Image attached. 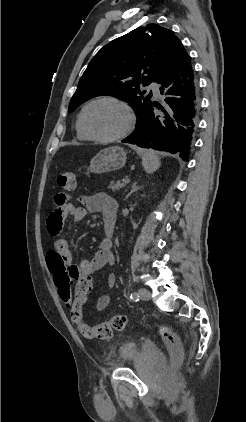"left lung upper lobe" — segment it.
I'll return each instance as SVG.
<instances>
[{
    "label": "left lung upper lobe",
    "mask_w": 246,
    "mask_h": 422,
    "mask_svg": "<svg viewBox=\"0 0 246 422\" xmlns=\"http://www.w3.org/2000/svg\"><path fill=\"white\" fill-rule=\"evenodd\" d=\"M182 44L168 29L157 24L138 27L100 49L90 61L74 93L69 112L102 95L130 103L137 120L152 103L142 88L159 83L176 59Z\"/></svg>",
    "instance_id": "obj_1"
}]
</instances>
